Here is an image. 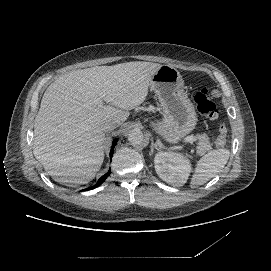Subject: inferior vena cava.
Segmentation results:
<instances>
[{
    "label": "inferior vena cava",
    "mask_w": 271,
    "mask_h": 271,
    "mask_svg": "<svg viewBox=\"0 0 271 271\" xmlns=\"http://www.w3.org/2000/svg\"><path fill=\"white\" fill-rule=\"evenodd\" d=\"M119 122L114 121V120H105L103 121L101 127L102 129L107 132L108 130H113L116 129L119 126Z\"/></svg>",
    "instance_id": "602c4592"
}]
</instances>
